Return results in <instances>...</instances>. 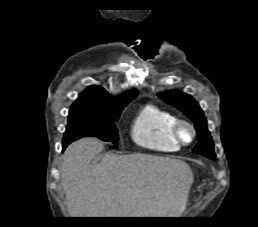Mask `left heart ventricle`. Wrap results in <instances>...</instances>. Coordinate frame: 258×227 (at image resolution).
<instances>
[{"mask_svg": "<svg viewBox=\"0 0 258 227\" xmlns=\"http://www.w3.org/2000/svg\"><path fill=\"white\" fill-rule=\"evenodd\" d=\"M182 134H183L184 139H186V140L189 139L190 133L187 129H184Z\"/></svg>", "mask_w": 258, "mask_h": 227, "instance_id": "b2bd125f", "label": "left heart ventricle"}]
</instances>
